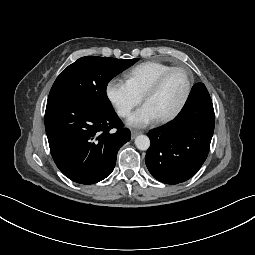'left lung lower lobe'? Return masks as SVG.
<instances>
[{"label": "left lung lower lobe", "instance_id": "1", "mask_svg": "<svg viewBox=\"0 0 255 255\" xmlns=\"http://www.w3.org/2000/svg\"><path fill=\"white\" fill-rule=\"evenodd\" d=\"M214 125L210 95L203 83H197L176 118L148 133L151 146L145 162L152 176L165 184L190 179L208 156Z\"/></svg>", "mask_w": 255, "mask_h": 255}]
</instances>
